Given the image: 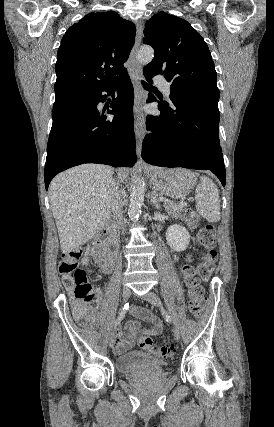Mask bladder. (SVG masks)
I'll list each match as a JSON object with an SVG mask.
<instances>
[{
  "label": "bladder",
  "instance_id": "31cf9c89",
  "mask_svg": "<svg viewBox=\"0 0 274 427\" xmlns=\"http://www.w3.org/2000/svg\"><path fill=\"white\" fill-rule=\"evenodd\" d=\"M118 372L131 373L134 370H146L156 375L162 373L166 362L152 358L147 352L132 351L116 356Z\"/></svg>",
  "mask_w": 274,
  "mask_h": 427
}]
</instances>
